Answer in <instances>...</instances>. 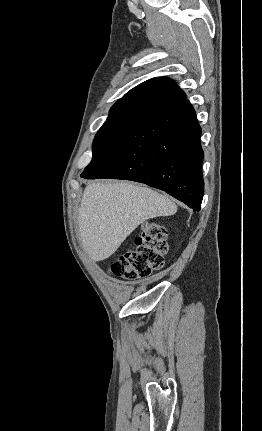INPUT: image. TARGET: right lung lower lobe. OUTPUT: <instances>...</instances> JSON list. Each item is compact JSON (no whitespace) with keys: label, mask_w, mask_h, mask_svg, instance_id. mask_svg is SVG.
Listing matches in <instances>:
<instances>
[{"label":"right lung lower lobe","mask_w":262,"mask_h":431,"mask_svg":"<svg viewBox=\"0 0 262 431\" xmlns=\"http://www.w3.org/2000/svg\"><path fill=\"white\" fill-rule=\"evenodd\" d=\"M201 128L189 101L132 125L81 177L133 180L199 211L204 183Z\"/></svg>","instance_id":"obj_1"}]
</instances>
